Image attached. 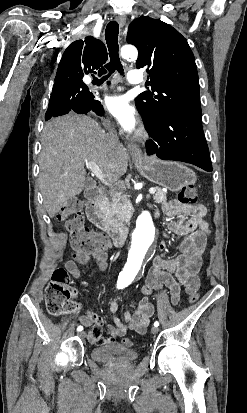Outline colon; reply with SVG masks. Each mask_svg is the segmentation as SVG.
Segmentation results:
<instances>
[{
    "mask_svg": "<svg viewBox=\"0 0 247 413\" xmlns=\"http://www.w3.org/2000/svg\"><path fill=\"white\" fill-rule=\"evenodd\" d=\"M177 199L180 203H196L197 194L194 188L184 187L178 194ZM82 202L79 199L68 201L59 211V219L65 222V227L70 235L71 243L76 250L90 251L97 247L96 252L99 256L104 257L108 254L107 240L105 236L100 235L96 230L88 226L81 216ZM70 277L66 270H57L52 280L45 288L44 298L48 312L52 315L72 313V290L70 288ZM198 299V293H194L189 298L190 303H195ZM123 345L129 347L132 341L128 338L122 340Z\"/></svg>",
    "mask_w": 247,
    "mask_h": 413,
    "instance_id": "1",
    "label": "colon"
}]
</instances>
